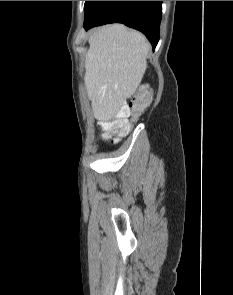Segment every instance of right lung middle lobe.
<instances>
[{"mask_svg": "<svg viewBox=\"0 0 233 295\" xmlns=\"http://www.w3.org/2000/svg\"><path fill=\"white\" fill-rule=\"evenodd\" d=\"M89 3H90V1H85L84 9H86V7L88 6Z\"/></svg>", "mask_w": 233, "mask_h": 295, "instance_id": "1", "label": "right lung middle lobe"}]
</instances>
